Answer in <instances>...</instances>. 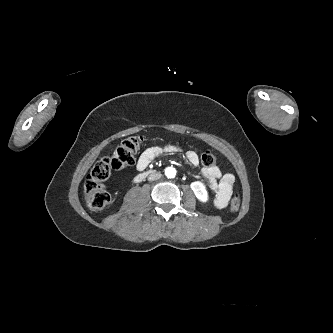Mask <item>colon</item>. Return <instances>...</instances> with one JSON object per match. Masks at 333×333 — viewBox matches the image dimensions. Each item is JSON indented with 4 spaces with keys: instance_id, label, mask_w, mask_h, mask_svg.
<instances>
[{
    "instance_id": "5ec220e1",
    "label": "colon",
    "mask_w": 333,
    "mask_h": 333,
    "mask_svg": "<svg viewBox=\"0 0 333 333\" xmlns=\"http://www.w3.org/2000/svg\"><path fill=\"white\" fill-rule=\"evenodd\" d=\"M142 138L132 136L123 140L111 156L103 157L92 169L84 183V193L88 207L95 212L103 210L110 202V195L103 186L111 171L120 170L131 166L138 153ZM204 167L214 166L215 155L210 151H205L201 156ZM240 207V197L237 193L232 197L230 208L236 212Z\"/></svg>"
}]
</instances>
